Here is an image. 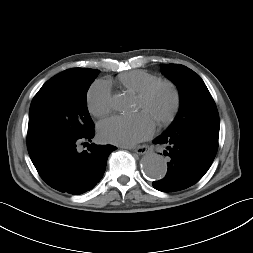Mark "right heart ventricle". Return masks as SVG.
Returning <instances> with one entry per match:
<instances>
[{
  "mask_svg": "<svg viewBox=\"0 0 253 253\" xmlns=\"http://www.w3.org/2000/svg\"><path fill=\"white\" fill-rule=\"evenodd\" d=\"M157 80H159L158 76L145 70H131L118 77V83L123 88L136 94Z\"/></svg>",
  "mask_w": 253,
  "mask_h": 253,
  "instance_id": "obj_1",
  "label": "right heart ventricle"
}]
</instances>
